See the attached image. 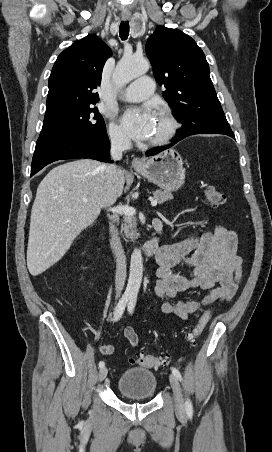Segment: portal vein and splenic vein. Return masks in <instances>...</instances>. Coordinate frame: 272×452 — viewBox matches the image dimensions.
<instances>
[{"label":"portal vein and splenic vein","instance_id":"obj_1","mask_svg":"<svg viewBox=\"0 0 272 452\" xmlns=\"http://www.w3.org/2000/svg\"><path fill=\"white\" fill-rule=\"evenodd\" d=\"M84 201H86V199H84ZM157 203L158 202L156 199L151 200V206L155 207L157 205ZM110 211H112L113 213H119V214H123L126 216H133L136 213V209L129 205H123V206L110 208Z\"/></svg>","mask_w":272,"mask_h":452}]
</instances>
